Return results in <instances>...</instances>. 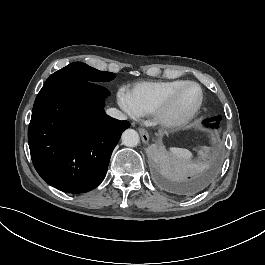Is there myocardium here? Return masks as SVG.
Instances as JSON below:
<instances>
[{
  "instance_id": "1",
  "label": "myocardium",
  "mask_w": 265,
  "mask_h": 265,
  "mask_svg": "<svg viewBox=\"0 0 265 265\" xmlns=\"http://www.w3.org/2000/svg\"><path fill=\"white\" fill-rule=\"evenodd\" d=\"M189 85H196L199 88V99L195 106L191 109L182 113H175L178 100L184 89ZM205 98V91L201 83L195 80L183 81L175 89L171 96L155 110L154 124L158 128L168 131H174L182 128L200 112L205 103Z\"/></svg>"
}]
</instances>
